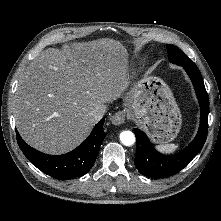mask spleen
Instances as JSON below:
<instances>
[{
  "label": "spleen",
  "mask_w": 221,
  "mask_h": 221,
  "mask_svg": "<svg viewBox=\"0 0 221 221\" xmlns=\"http://www.w3.org/2000/svg\"><path fill=\"white\" fill-rule=\"evenodd\" d=\"M179 144H160L156 146V149L161 153H172L178 149Z\"/></svg>",
  "instance_id": "3e777b00"
}]
</instances>
